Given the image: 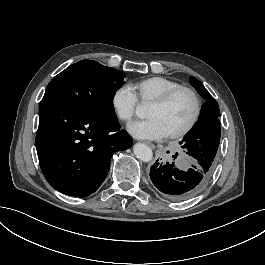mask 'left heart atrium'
<instances>
[{"label": "left heart atrium", "mask_w": 265, "mask_h": 265, "mask_svg": "<svg viewBox=\"0 0 265 265\" xmlns=\"http://www.w3.org/2000/svg\"><path fill=\"white\" fill-rule=\"evenodd\" d=\"M129 133L138 139H159L166 132L157 119L136 120L128 125Z\"/></svg>", "instance_id": "left-heart-atrium-1"}]
</instances>
